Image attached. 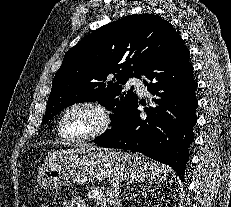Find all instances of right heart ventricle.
I'll use <instances>...</instances> for the list:
<instances>
[{
  "label": "right heart ventricle",
  "mask_w": 231,
  "mask_h": 207,
  "mask_svg": "<svg viewBox=\"0 0 231 207\" xmlns=\"http://www.w3.org/2000/svg\"><path fill=\"white\" fill-rule=\"evenodd\" d=\"M58 138H59L61 141H64V139L60 136L59 131H58Z\"/></svg>",
  "instance_id": "right-heart-ventricle-1"
}]
</instances>
